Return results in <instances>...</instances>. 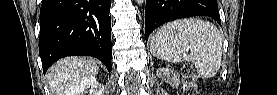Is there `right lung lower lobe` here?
Masks as SVG:
<instances>
[{"instance_id": "obj_1", "label": "right lung lower lobe", "mask_w": 277, "mask_h": 95, "mask_svg": "<svg viewBox=\"0 0 277 95\" xmlns=\"http://www.w3.org/2000/svg\"><path fill=\"white\" fill-rule=\"evenodd\" d=\"M110 0H43L39 55L44 74L58 59L86 55L111 71Z\"/></svg>"}]
</instances>
